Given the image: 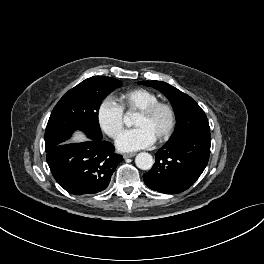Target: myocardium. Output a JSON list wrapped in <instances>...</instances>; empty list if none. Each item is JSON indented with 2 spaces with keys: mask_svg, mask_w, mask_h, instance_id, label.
Segmentation results:
<instances>
[{
  "mask_svg": "<svg viewBox=\"0 0 264 264\" xmlns=\"http://www.w3.org/2000/svg\"><path fill=\"white\" fill-rule=\"evenodd\" d=\"M159 110H164L168 115V124L163 132L156 140L158 142H165L167 141L174 132L176 126V113L173 106L167 102L157 101L149 106L141 109L138 111V114L143 117H151Z\"/></svg>",
  "mask_w": 264,
  "mask_h": 264,
  "instance_id": "1",
  "label": "myocardium"
}]
</instances>
